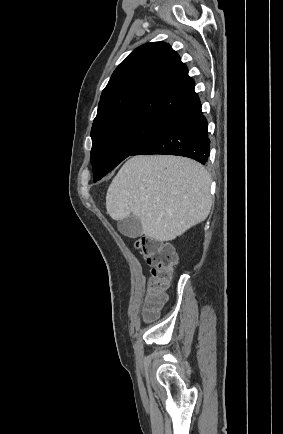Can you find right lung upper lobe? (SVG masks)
Instances as JSON below:
<instances>
[{"instance_id": "right-lung-upper-lobe-1", "label": "right lung upper lobe", "mask_w": 283, "mask_h": 434, "mask_svg": "<svg viewBox=\"0 0 283 434\" xmlns=\"http://www.w3.org/2000/svg\"><path fill=\"white\" fill-rule=\"evenodd\" d=\"M187 66L165 42L135 49L114 71L102 92L93 126L129 113L174 119L200 103Z\"/></svg>"}]
</instances>
